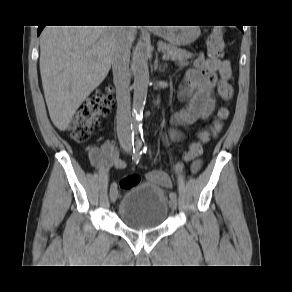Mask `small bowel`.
<instances>
[{
	"instance_id": "obj_1",
	"label": "small bowel",
	"mask_w": 292,
	"mask_h": 292,
	"mask_svg": "<svg viewBox=\"0 0 292 292\" xmlns=\"http://www.w3.org/2000/svg\"><path fill=\"white\" fill-rule=\"evenodd\" d=\"M182 65L185 62H181ZM218 77L229 81L232 78L230 62L221 59L205 58L199 54L193 61V66L186 72L180 95L186 101V107L174 116V127L169 131L167 141H180L183 134L178 130L180 125L193 124L207 119L215 109L214 87ZM221 129V122L214 125V133ZM91 164L98 169H124L126 162L120 157L115 143L107 140L101 146L89 148ZM201 167V161L195 160L192 172L196 173ZM147 180L163 187L171 188L170 176L162 170H152L146 173Z\"/></svg>"
}]
</instances>
